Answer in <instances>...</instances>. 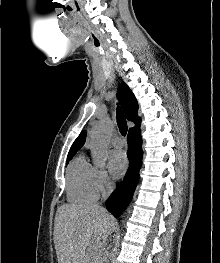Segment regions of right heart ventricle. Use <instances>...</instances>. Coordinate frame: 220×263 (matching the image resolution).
Instances as JSON below:
<instances>
[{
    "label": "right heart ventricle",
    "mask_w": 220,
    "mask_h": 263,
    "mask_svg": "<svg viewBox=\"0 0 220 263\" xmlns=\"http://www.w3.org/2000/svg\"><path fill=\"white\" fill-rule=\"evenodd\" d=\"M96 168L83 155L72 160L67 171V198L72 203H90L97 200L99 190L95 178Z\"/></svg>",
    "instance_id": "right-heart-ventricle-1"
}]
</instances>
